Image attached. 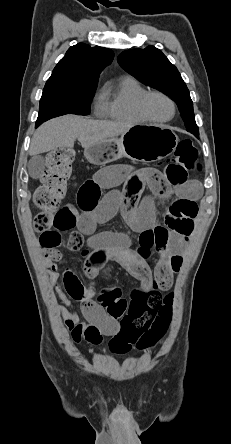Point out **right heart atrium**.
I'll return each instance as SVG.
<instances>
[{
  "instance_id": "obj_1",
  "label": "right heart atrium",
  "mask_w": 231,
  "mask_h": 444,
  "mask_svg": "<svg viewBox=\"0 0 231 444\" xmlns=\"http://www.w3.org/2000/svg\"><path fill=\"white\" fill-rule=\"evenodd\" d=\"M105 107H106V97H105V93L104 90H100L93 101V108H94V112L97 115H101L104 113L105 111Z\"/></svg>"
}]
</instances>
